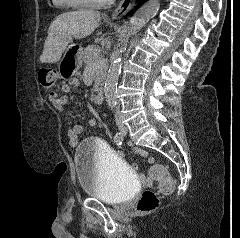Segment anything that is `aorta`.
<instances>
[{
    "label": "aorta",
    "mask_w": 240,
    "mask_h": 238,
    "mask_svg": "<svg viewBox=\"0 0 240 238\" xmlns=\"http://www.w3.org/2000/svg\"><path fill=\"white\" fill-rule=\"evenodd\" d=\"M160 8V0H148L130 19L129 35H136L141 28L152 19ZM123 64V57L117 56L112 61L105 82V98L112 109L117 103V84Z\"/></svg>",
    "instance_id": "762f6f07"
}]
</instances>
